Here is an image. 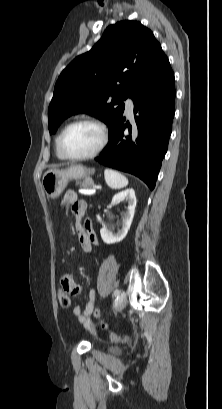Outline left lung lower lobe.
Segmentation results:
<instances>
[{
  "label": "left lung lower lobe",
  "instance_id": "0a47b994",
  "mask_svg": "<svg viewBox=\"0 0 222 409\" xmlns=\"http://www.w3.org/2000/svg\"><path fill=\"white\" fill-rule=\"evenodd\" d=\"M132 99L134 114L138 113L135 116L138 137L124 138L127 125L121 114L109 129L110 141L96 160L139 177L153 190L167 152L175 113L173 71H167Z\"/></svg>",
  "mask_w": 222,
  "mask_h": 409
}]
</instances>
